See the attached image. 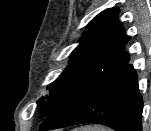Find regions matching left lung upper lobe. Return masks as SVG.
I'll list each match as a JSON object with an SVG mask.
<instances>
[{
	"label": "left lung upper lobe",
	"instance_id": "5c2ea615",
	"mask_svg": "<svg viewBox=\"0 0 151 131\" xmlns=\"http://www.w3.org/2000/svg\"><path fill=\"white\" fill-rule=\"evenodd\" d=\"M128 40L118 21V9L111 8L98 14L87 26L80 45L72 52L68 67L47 87L49 94L37 101L39 114L44 117L51 114L89 69H110L127 63L129 57L122 50Z\"/></svg>",
	"mask_w": 151,
	"mask_h": 131
}]
</instances>
